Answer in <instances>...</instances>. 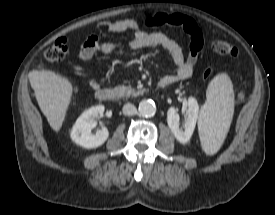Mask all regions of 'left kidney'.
<instances>
[{
	"mask_svg": "<svg viewBox=\"0 0 275 215\" xmlns=\"http://www.w3.org/2000/svg\"><path fill=\"white\" fill-rule=\"evenodd\" d=\"M199 113V105L195 98L188 99V118L184 125H180V118L177 110L170 107L167 111V123L175 138L182 144L187 143L196 126Z\"/></svg>",
	"mask_w": 275,
	"mask_h": 215,
	"instance_id": "5707ae66",
	"label": "left kidney"
}]
</instances>
